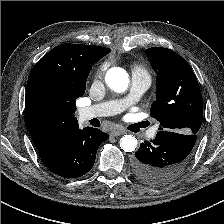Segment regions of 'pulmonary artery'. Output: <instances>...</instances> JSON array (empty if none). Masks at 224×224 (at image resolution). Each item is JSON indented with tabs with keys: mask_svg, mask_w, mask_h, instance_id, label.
Returning <instances> with one entry per match:
<instances>
[{
	"mask_svg": "<svg viewBox=\"0 0 224 224\" xmlns=\"http://www.w3.org/2000/svg\"><path fill=\"white\" fill-rule=\"evenodd\" d=\"M149 76L143 72H135L132 76V85L129 94L119 100L107 101L99 104L83 107L78 115L81 121H86L96 117L111 116L124 111L129 106L136 103L150 86ZM156 128H153L149 134L154 137Z\"/></svg>",
	"mask_w": 224,
	"mask_h": 224,
	"instance_id": "e3ab8cb5",
	"label": "pulmonary artery"
}]
</instances>
